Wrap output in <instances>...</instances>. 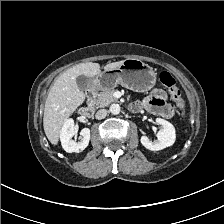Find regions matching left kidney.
Instances as JSON below:
<instances>
[{
  "label": "left kidney",
  "mask_w": 224,
  "mask_h": 224,
  "mask_svg": "<svg viewBox=\"0 0 224 224\" xmlns=\"http://www.w3.org/2000/svg\"><path fill=\"white\" fill-rule=\"evenodd\" d=\"M156 122L162 127L157 133L158 140L152 142L145 135L141 136L140 139L141 144L151 151H158L172 146L176 139L175 128L170 122L161 118H157Z\"/></svg>",
  "instance_id": "obj_1"
}]
</instances>
